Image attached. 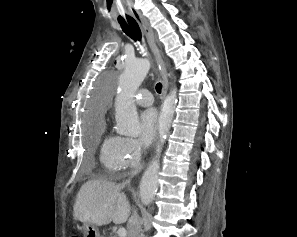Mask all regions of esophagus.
Masks as SVG:
<instances>
[{"label": "esophagus", "instance_id": "obj_1", "mask_svg": "<svg viewBox=\"0 0 297 237\" xmlns=\"http://www.w3.org/2000/svg\"><path fill=\"white\" fill-rule=\"evenodd\" d=\"M134 17L137 20V22L139 23L143 33L145 34V36L148 40V43H149L154 55L156 56V58L158 60V64H159V67L161 70V75H162V83H163L162 96L165 97L167 94V90H168V75H167L166 68L163 64L160 52L155 44L154 32H153L152 28L150 27L147 19L145 17H143L140 13L134 14Z\"/></svg>", "mask_w": 297, "mask_h": 237}]
</instances>
